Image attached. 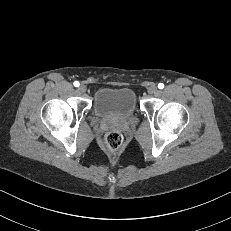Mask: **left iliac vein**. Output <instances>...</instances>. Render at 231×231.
<instances>
[{
	"instance_id": "4c4485c4",
	"label": "left iliac vein",
	"mask_w": 231,
	"mask_h": 231,
	"mask_svg": "<svg viewBox=\"0 0 231 231\" xmlns=\"http://www.w3.org/2000/svg\"><path fill=\"white\" fill-rule=\"evenodd\" d=\"M158 91V88L156 85H151L149 88H148V93L149 94H156Z\"/></svg>"
}]
</instances>
